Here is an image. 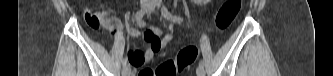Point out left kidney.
I'll use <instances>...</instances> for the list:
<instances>
[{"label": "left kidney", "instance_id": "5707ae66", "mask_svg": "<svg viewBox=\"0 0 333 76\" xmlns=\"http://www.w3.org/2000/svg\"><path fill=\"white\" fill-rule=\"evenodd\" d=\"M197 2H202V3H205L207 2L206 0H196Z\"/></svg>", "mask_w": 333, "mask_h": 76}]
</instances>
